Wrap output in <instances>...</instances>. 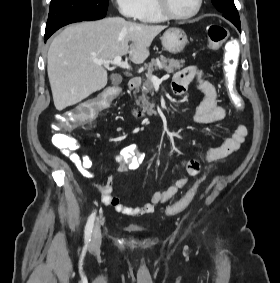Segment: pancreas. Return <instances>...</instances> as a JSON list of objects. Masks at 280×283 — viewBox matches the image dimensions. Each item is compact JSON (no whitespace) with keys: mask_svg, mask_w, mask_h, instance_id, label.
Masks as SVG:
<instances>
[{"mask_svg":"<svg viewBox=\"0 0 280 283\" xmlns=\"http://www.w3.org/2000/svg\"><path fill=\"white\" fill-rule=\"evenodd\" d=\"M185 61L183 59L166 58L160 56L159 59H152L147 66V77L143 82L142 95L139 97L137 103L141 102V107L143 111L147 113H154V103L149 102V97L147 94L151 93L153 95V83L151 81L152 73L156 69H164L167 73H172L175 69H180L183 67Z\"/></svg>","mask_w":280,"mask_h":283,"instance_id":"cf45deb5","label":"pancreas"}]
</instances>
